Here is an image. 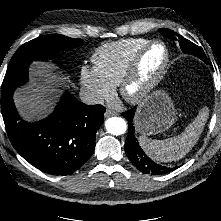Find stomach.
<instances>
[{
    "label": "stomach",
    "mask_w": 221,
    "mask_h": 221,
    "mask_svg": "<svg viewBox=\"0 0 221 221\" xmlns=\"http://www.w3.org/2000/svg\"><path fill=\"white\" fill-rule=\"evenodd\" d=\"M176 120L174 105L164 90L147 95L135 115V127L143 135H155L168 130Z\"/></svg>",
    "instance_id": "0dacf381"
}]
</instances>
